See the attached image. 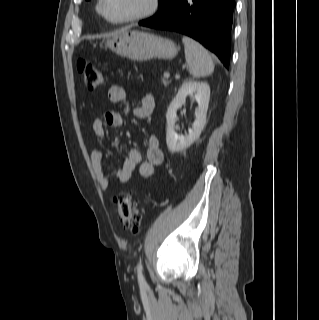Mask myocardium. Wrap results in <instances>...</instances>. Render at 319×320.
<instances>
[{"mask_svg":"<svg viewBox=\"0 0 319 320\" xmlns=\"http://www.w3.org/2000/svg\"><path fill=\"white\" fill-rule=\"evenodd\" d=\"M105 2L106 0H99L98 11L107 22L115 25H122L150 18L158 12L161 5V0H151L147 10L120 20H113L106 13Z\"/></svg>","mask_w":319,"mask_h":320,"instance_id":"1","label":"myocardium"}]
</instances>
